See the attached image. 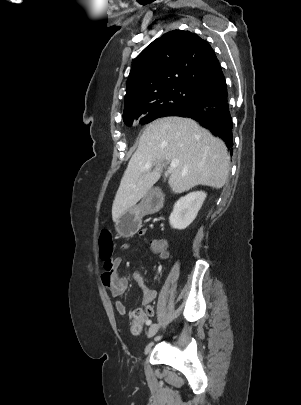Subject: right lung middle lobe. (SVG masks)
Instances as JSON below:
<instances>
[{"label":"right lung middle lobe","instance_id":"obj_1","mask_svg":"<svg viewBox=\"0 0 301 405\" xmlns=\"http://www.w3.org/2000/svg\"><path fill=\"white\" fill-rule=\"evenodd\" d=\"M203 94L204 92L189 88H177L157 93L143 99L140 106L135 109L123 113V120L127 126H131L134 119H138L142 113H148L140 120L142 124L148 123L197 101Z\"/></svg>","mask_w":301,"mask_h":405}]
</instances>
